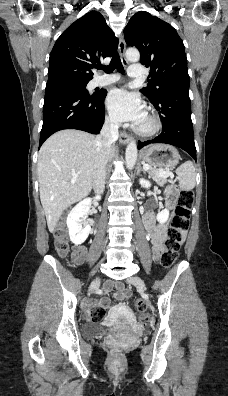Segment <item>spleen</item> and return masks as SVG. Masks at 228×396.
Returning <instances> with one entry per match:
<instances>
[{
    "label": "spleen",
    "instance_id": "1",
    "mask_svg": "<svg viewBox=\"0 0 228 396\" xmlns=\"http://www.w3.org/2000/svg\"><path fill=\"white\" fill-rule=\"evenodd\" d=\"M179 186L184 191L192 190L196 185V171L193 163L187 161L176 170Z\"/></svg>",
    "mask_w": 228,
    "mask_h": 396
}]
</instances>
